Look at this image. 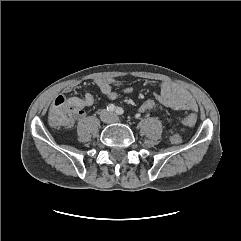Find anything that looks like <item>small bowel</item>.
Instances as JSON below:
<instances>
[{"instance_id":"c3829d8e","label":"small bowel","mask_w":241,"mask_h":241,"mask_svg":"<svg viewBox=\"0 0 241 241\" xmlns=\"http://www.w3.org/2000/svg\"><path fill=\"white\" fill-rule=\"evenodd\" d=\"M95 84L100 91L109 99L115 100L118 97L117 92L113 89L114 85L121 83L113 78H97ZM76 84H70L65 89V93H70L76 88ZM125 93L132 92V88H126ZM157 100L165 107L176 111H193L198 110V105L194 97L186 89L172 81H161L158 84L156 92ZM68 102L75 108L74 118L80 120L84 116L83 108L90 107L94 104V97L91 93H86L82 98L72 97Z\"/></svg>"}]
</instances>
